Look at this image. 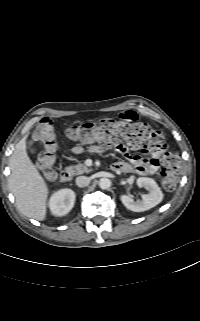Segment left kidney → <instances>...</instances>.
<instances>
[{"mask_svg":"<svg viewBox=\"0 0 200 321\" xmlns=\"http://www.w3.org/2000/svg\"><path fill=\"white\" fill-rule=\"evenodd\" d=\"M137 185L148 190V194L142 196V200L134 201L131 196L122 195L121 201L124 206L134 212H143L158 205L163 199V193L158 184L147 177H140L137 179Z\"/></svg>","mask_w":200,"mask_h":321,"instance_id":"5707ae66","label":"left kidney"}]
</instances>
